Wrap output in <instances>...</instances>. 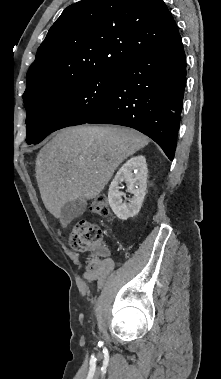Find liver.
Listing matches in <instances>:
<instances>
[{
    "mask_svg": "<svg viewBox=\"0 0 221 379\" xmlns=\"http://www.w3.org/2000/svg\"><path fill=\"white\" fill-rule=\"evenodd\" d=\"M148 143L144 134L116 126H78L57 132L36 158L44 206L60 218L66 202L96 198L117 167Z\"/></svg>",
    "mask_w": 221,
    "mask_h": 379,
    "instance_id": "obj_1",
    "label": "liver"
}]
</instances>
